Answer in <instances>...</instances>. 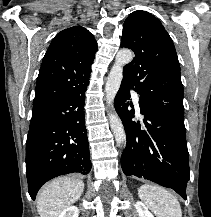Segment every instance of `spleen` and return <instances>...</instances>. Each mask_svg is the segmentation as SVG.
Wrapping results in <instances>:
<instances>
[{"label": "spleen", "mask_w": 211, "mask_h": 217, "mask_svg": "<svg viewBox=\"0 0 211 217\" xmlns=\"http://www.w3.org/2000/svg\"><path fill=\"white\" fill-rule=\"evenodd\" d=\"M141 200L157 217H182L177 198L166 189L144 184L138 189Z\"/></svg>", "instance_id": "3e777b00"}]
</instances>
